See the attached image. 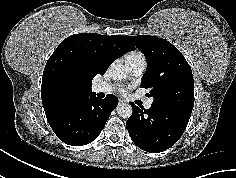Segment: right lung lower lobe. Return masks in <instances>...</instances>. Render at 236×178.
Listing matches in <instances>:
<instances>
[{"label":"right lung lower lobe","mask_w":236,"mask_h":178,"mask_svg":"<svg viewBox=\"0 0 236 178\" xmlns=\"http://www.w3.org/2000/svg\"><path fill=\"white\" fill-rule=\"evenodd\" d=\"M118 99L109 94L98 99L94 93L56 103L45 108L54 133L64 143L82 146L95 140L103 130Z\"/></svg>","instance_id":"right-lung-lower-lobe-1"}]
</instances>
